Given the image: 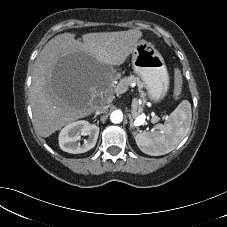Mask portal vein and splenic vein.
Wrapping results in <instances>:
<instances>
[{
	"instance_id": "18ae733b",
	"label": "portal vein and splenic vein",
	"mask_w": 227,
	"mask_h": 227,
	"mask_svg": "<svg viewBox=\"0 0 227 227\" xmlns=\"http://www.w3.org/2000/svg\"><path fill=\"white\" fill-rule=\"evenodd\" d=\"M115 91H116V93L121 94V93L126 92L127 89L123 88L120 84H118L116 89H115ZM137 108H138V101L136 99H134L132 101V113H133L134 116H136V122L139 123V124H143V123L146 122V119H148V117L146 116L145 113H141L142 112L141 110L137 111ZM158 120H159L158 117H153L151 119V122L155 123ZM155 128L160 129V128H162V125L161 124H157L155 126Z\"/></svg>"
}]
</instances>
